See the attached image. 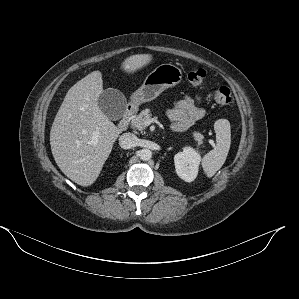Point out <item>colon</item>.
Here are the masks:
<instances>
[{
	"mask_svg": "<svg viewBox=\"0 0 299 299\" xmlns=\"http://www.w3.org/2000/svg\"><path fill=\"white\" fill-rule=\"evenodd\" d=\"M188 81L194 87H203L206 81V72L203 69H196L188 73ZM210 98L221 105H228L232 102V93L227 86H214L210 91Z\"/></svg>",
	"mask_w": 299,
	"mask_h": 299,
	"instance_id": "5ec220e1",
	"label": "colon"
}]
</instances>
